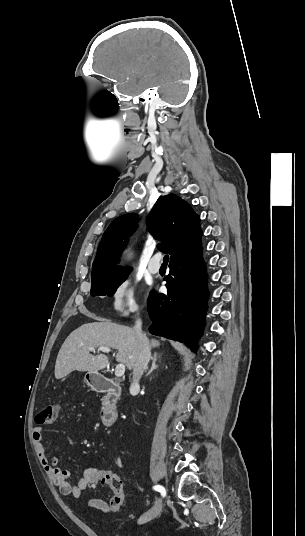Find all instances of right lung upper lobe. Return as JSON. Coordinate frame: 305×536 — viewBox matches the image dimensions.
<instances>
[{
    "instance_id": "1",
    "label": "right lung upper lobe",
    "mask_w": 305,
    "mask_h": 536,
    "mask_svg": "<svg viewBox=\"0 0 305 536\" xmlns=\"http://www.w3.org/2000/svg\"><path fill=\"white\" fill-rule=\"evenodd\" d=\"M138 215L116 218L106 229L93 262L91 280L126 274L132 268L116 265L128 236L137 227ZM199 216L191 206L175 194L160 197L148 217V229L161 240L158 249L168 252L170 261L184 257L201 247Z\"/></svg>"
}]
</instances>
